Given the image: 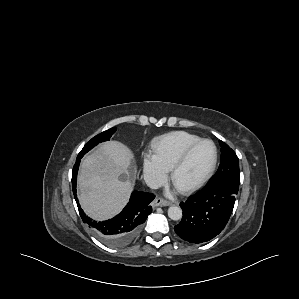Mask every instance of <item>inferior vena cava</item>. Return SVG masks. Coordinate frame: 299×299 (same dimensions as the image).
<instances>
[{"label": "inferior vena cava", "instance_id": "obj_1", "mask_svg": "<svg viewBox=\"0 0 299 299\" xmlns=\"http://www.w3.org/2000/svg\"><path fill=\"white\" fill-rule=\"evenodd\" d=\"M144 180L147 186L150 187L151 189H158L160 187V183L151 176H145Z\"/></svg>", "mask_w": 299, "mask_h": 299}]
</instances>
